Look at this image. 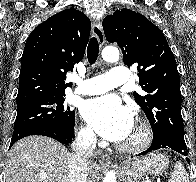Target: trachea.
Listing matches in <instances>:
<instances>
[{
  "label": "trachea",
  "mask_w": 196,
  "mask_h": 182,
  "mask_svg": "<svg viewBox=\"0 0 196 182\" xmlns=\"http://www.w3.org/2000/svg\"><path fill=\"white\" fill-rule=\"evenodd\" d=\"M99 55V43L98 40L93 37L90 39V42L87 47V58L91 65H93L98 58Z\"/></svg>",
  "instance_id": "trachea-1"
}]
</instances>
